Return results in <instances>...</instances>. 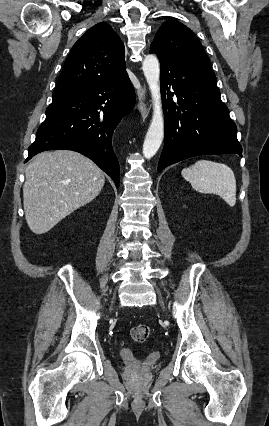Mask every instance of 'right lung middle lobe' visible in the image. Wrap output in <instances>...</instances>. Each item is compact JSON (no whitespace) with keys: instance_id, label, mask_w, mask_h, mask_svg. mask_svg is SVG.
<instances>
[{"instance_id":"1","label":"right lung middle lobe","mask_w":269,"mask_h":426,"mask_svg":"<svg viewBox=\"0 0 269 426\" xmlns=\"http://www.w3.org/2000/svg\"><path fill=\"white\" fill-rule=\"evenodd\" d=\"M66 94H67V92H53V94H52L53 101L64 97Z\"/></svg>"}]
</instances>
